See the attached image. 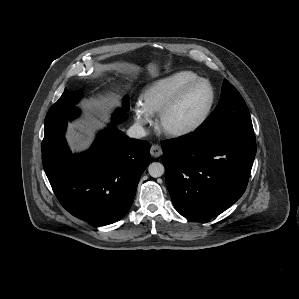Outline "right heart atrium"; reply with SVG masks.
I'll return each mask as SVG.
<instances>
[{"label": "right heart atrium", "instance_id": "right-heart-atrium-1", "mask_svg": "<svg viewBox=\"0 0 299 299\" xmlns=\"http://www.w3.org/2000/svg\"><path fill=\"white\" fill-rule=\"evenodd\" d=\"M133 112L134 119L139 126L145 127L152 123L153 114L147 111L141 104H137Z\"/></svg>", "mask_w": 299, "mask_h": 299}]
</instances>
